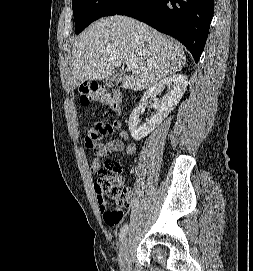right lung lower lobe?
<instances>
[{"label": "right lung lower lobe", "mask_w": 253, "mask_h": 271, "mask_svg": "<svg viewBox=\"0 0 253 271\" xmlns=\"http://www.w3.org/2000/svg\"><path fill=\"white\" fill-rule=\"evenodd\" d=\"M214 13V0H126L114 15H126L180 40L197 63Z\"/></svg>", "instance_id": "right-lung-lower-lobe-1"}]
</instances>
